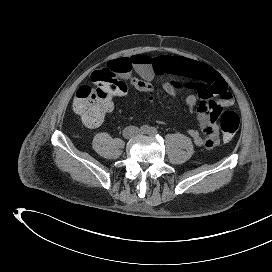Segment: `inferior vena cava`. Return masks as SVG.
I'll return each instance as SVG.
<instances>
[{
    "label": "inferior vena cava",
    "instance_id": "1",
    "mask_svg": "<svg viewBox=\"0 0 272 272\" xmlns=\"http://www.w3.org/2000/svg\"><path fill=\"white\" fill-rule=\"evenodd\" d=\"M139 133V129L135 126H128L123 130L124 136L131 137Z\"/></svg>",
    "mask_w": 272,
    "mask_h": 272
}]
</instances>
